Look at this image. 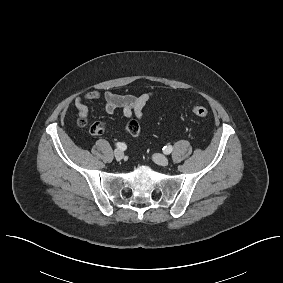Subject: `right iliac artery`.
Instances as JSON below:
<instances>
[{
	"label": "right iliac artery",
	"instance_id": "1",
	"mask_svg": "<svg viewBox=\"0 0 283 283\" xmlns=\"http://www.w3.org/2000/svg\"><path fill=\"white\" fill-rule=\"evenodd\" d=\"M116 145L120 150L124 151L126 149V145L124 143L118 142Z\"/></svg>",
	"mask_w": 283,
	"mask_h": 283
}]
</instances>
